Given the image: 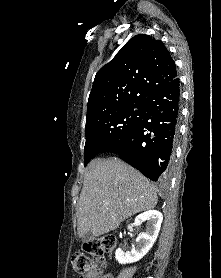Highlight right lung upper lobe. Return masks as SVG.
I'll use <instances>...</instances> for the list:
<instances>
[{
  "label": "right lung upper lobe",
  "mask_w": 221,
  "mask_h": 278,
  "mask_svg": "<svg viewBox=\"0 0 221 278\" xmlns=\"http://www.w3.org/2000/svg\"><path fill=\"white\" fill-rule=\"evenodd\" d=\"M177 77L175 62L160 40L142 34L130 39L96 74L86 121L136 102Z\"/></svg>",
  "instance_id": "cb5924a9"
}]
</instances>
